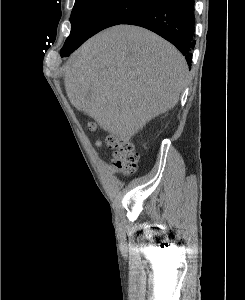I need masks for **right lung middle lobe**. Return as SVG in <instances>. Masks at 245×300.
<instances>
[{
  "label": "right lung middle lobe",
  "instance_id": "1",
  "mask_svg": "<svg viewBox=\"0 0 245 300\" xmlns=\"http://www.w3.org/2000/svg\"><path fill=\"white\" fill-rule=\"evenodd\" d=\"M156 0H75L70 22L71 33L61 54L81 45L88 38L110 26L122 24Z\"/></svg>",
  "mask_w": 245,
  "mask_h": 300
}]
</instances>
